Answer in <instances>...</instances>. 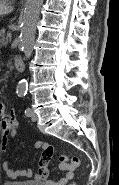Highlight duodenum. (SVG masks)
<instances>
[{"label":"duodenum","instance_id":"1","mask_svg":"<svg viewBox=\"0 0 119 185\" xmlns=\"http://www.w3.org/2000/svg\"><path fill=\"white\" fill-rule=\"evenodd\" d=\"M14 66L18 71L22 72L25 68L24 60L20 56H16L14 58Z\"/></svg>","mask_w":119,"mask_h":185}]
</instances>
